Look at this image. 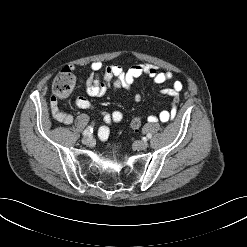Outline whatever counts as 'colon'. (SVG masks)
Returning a JSON list of instances; mask_svg holds the SVG:
<instances>
[{
	"instance_id": "1",
	"label": "colon",
	"mask_w": 247,
	"mask_h": 247,
	"mask_svg": "<svg viewBox=\"0 0 247 247\" xmlns=\"http://www.w3.org/2000/svg\"><path fill=\"white\" fill-rule=\"evenodd\" d=\"M74 87V76L70 68L63 69L54 79L52 84V93L54 100L63 99L70 95ZM178 106V102H177ZM142 124L141 117H135L131 123L132 131H137Z\"/></svg>"
}]
</instances>
